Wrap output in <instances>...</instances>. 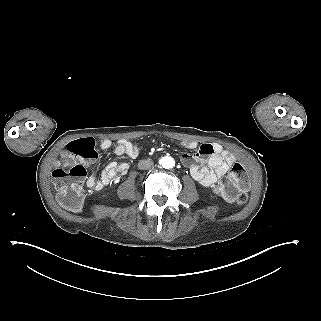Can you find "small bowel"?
<instances>
[{"mask_svg": "<svg viewBox=\"0 0 321 321\" xmlns=\"http://www.w3.org/2000/svg\"><path fill=\"white\" fill-rule=\"evenodd\" d=\"M99 145L107 150L112 147V141L102 139ZM181 146L191 150L197 149L194 153L183 154L181 161L189 168L192 178L207 187L214 186L235 161L234 155L223 150L218 143H206L198 147L195 141H183ZM114 153L118 156L126 155L129 158H135L139 153V147L126 139H120L116 142ZM87 165L92 171L87 185L97 191L124 175L129 167L126 162H110L99 171L97 176L91 164L87 163Z\"/></svg>", "mask_w": 321, "mask_h": 321, "instance_id": "1", "label": "small bowel"}]
</instances>
